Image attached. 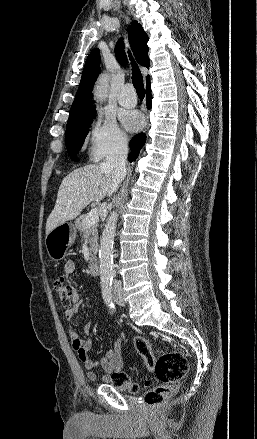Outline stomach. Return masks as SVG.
I'll return each mask as SVG.
<instances>
[{"mask_svg": "<svg viewBox=\"0 0 257 439\" xmlns=\"http://www.w3.org/2000/svg\"><path fill=\"white\" fill-rule=\"evenodd\" d=\"M75 238L76 228L71 222H64L55 227L45 239V247L49 257L53 261L63 259Z\"/></svg>", "mask_w": 257, "mask_h": 439, "instance_id": "0dacf381", "label": "stomach"}]
</instances>
